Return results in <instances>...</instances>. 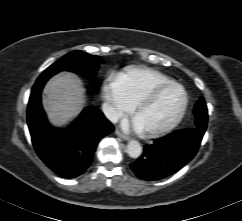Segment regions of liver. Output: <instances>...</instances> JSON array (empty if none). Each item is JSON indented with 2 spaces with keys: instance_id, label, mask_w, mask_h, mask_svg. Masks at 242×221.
Listing matches in <instances>:
<instances>
[{
  "instance_id": "obj_1",
  "label": "liver",
  "mask_w": 242,
  "mask_h": 221,
  "mask_svg": "<svg viewBox=\"0 0 242 221\" xmlns=\"http://www.w3.org/2000/svg\"><path fill=\"white\" fill-rule=\"evenodd\" d=\"M43 106L51 125L61 127L72 121L85 105L81 80L64 73L51 78L44 88Z\"/></svg>"
}]
</instances>
